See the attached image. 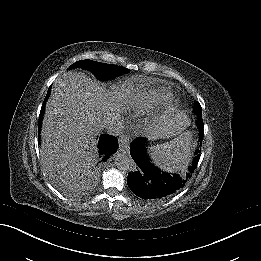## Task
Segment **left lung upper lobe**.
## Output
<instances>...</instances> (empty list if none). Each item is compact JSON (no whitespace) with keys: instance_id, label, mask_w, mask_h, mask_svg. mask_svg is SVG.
<instances>
[{"instance_id":"left-lung-upper-lobe-1","label":"left lung upper lobe","mask_w":261,"mask_h":261,"mask_svg":"<svg viewBox=\"0 0 261 261\" xmlns=\"http://www.w3.org/2000/svg\"><path fill=\"white\" fill-rule=\"evenodd\" d=\"M194 112L197 114L199 120L197 122L198 126L203 130V122H202V108L199 102L195 104Z\"/></svg>"}]
</instances>
